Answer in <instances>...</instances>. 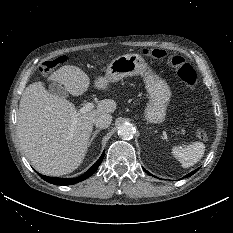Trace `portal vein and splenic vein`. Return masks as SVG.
Segmentation results:
<instances>
[{
  "instance_id": "1",
  "label": "portal vein and splenic vein",
  "mask_w": 233,
  "mask_h": 233,
  "mask_svg": "<svg viewBox=\"0 0 233 233\" xmlns=\"http://www.w3.org/2000/svg\"><path fill=\"white\" fill-rule=\"evenodd\" d=\"M94 108V104L87 102L83 105V107L81 109H79L78 114H82V113H86L91 111Z\"/></svg>"
}]
</instances>
